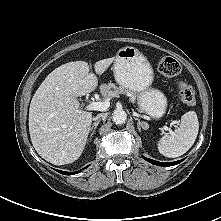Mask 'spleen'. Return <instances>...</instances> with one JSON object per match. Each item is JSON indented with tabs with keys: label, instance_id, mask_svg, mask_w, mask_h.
Wrapping results in <instances>:
<instances>
[{
	"label": "spleen",
	"instance_id": "obj_1",
	"mask_svg": "<svg viewBox=\"0 0 221 221\" xmlns=\"http://www.w3.org/2000/svg\"><path fill=\"white\" fill-rule=\"evenodd\" d=\"M199 131V121L195 111H188L181 117L180 126L159 139V152L168 158L185 154L194 144Z\"/></svg>",
	"mask_w": 221,
	"mask_h": 221
}]
</instances>
